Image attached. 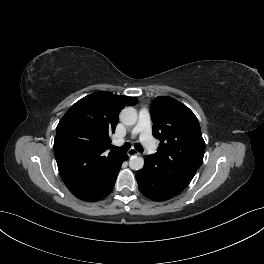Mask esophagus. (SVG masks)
I'll use <instances>...</instances> for the list:
<instances>
[{"instance_id": "1", "label": "esophagus", "mask_w": 264, "mask_h": 264, "mask_svg": "<svg viewBox=\"0 0 264 264\" xmlns=\"http://www.w3.org/2000/svg\"><path fill=\"white\" fill-rule=\"evenodd\" d=\"M128 156H134V155H139V152L137 150H135L134 148H131L130 150H128L127 152Z\"/></svg>"}]
</instances>
